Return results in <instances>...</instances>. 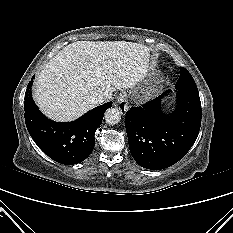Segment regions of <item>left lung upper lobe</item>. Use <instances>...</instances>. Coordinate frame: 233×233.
Wrapping results in <instances>:
<instances>
[{
    "mask_svg": "<svg viewBox=\"0 0 233 233\" xmlns=\"http://www.w3.org/2000/svg\"><path fill=\"white\" fill-rule=\"evenodd\" d=\"M196 83L191 76V74L183 67H180V76L176 83V88L180 89L182 87H195Z\"/></svg>",
    "mask_w": 233,
    "mask_h": 233,
    "instance_id": "5c2ea615",
    "label": "left lung upper lobe"
}]
</instances>
